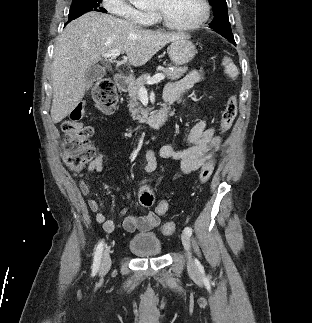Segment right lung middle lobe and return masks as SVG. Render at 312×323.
Here are the masks:
<instances>
[{
    "mask_svg": "<svg viewBox=\"0 0 312 323\" xmlns=\"http://www.w3.org/2000/svg\"><path fill=\"white\" fill-rule=\"evenodd\" d=\"M101 1L102 0H72L73 3L69 11L68 22L89 11L106 13V10L101 6Z\"/></svg>",
    "mask_w": 312,
    "mask_h": 323,
    "instance_id": "right-lung-middle-lobe-1",
    "label": "right lung middle lobe"
}]
</instances>
